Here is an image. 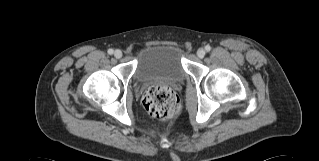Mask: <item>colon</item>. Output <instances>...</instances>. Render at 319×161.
Returning <instances> with one entry per match:
<instances>
[{
    "label": "colon",
    "instance_id": "colon-1",
    "mask_svg": "<svg viewBox=\"0 0 319 161\" xmlns=\"http://www.w3.org/2000/svg\"><path fill=\"white\" fill-rule=\"evenodd\" d=\"M142 104L152 118L162 121L174 118L180 110V102L175 92L162 85L150 87L144 93Z\"/></svg>",
    "mask_w": 319,
    "mask_h": 161
}]
</instances>
